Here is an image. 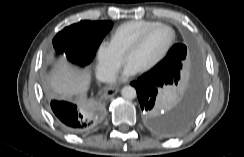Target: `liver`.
I'll list each match as a JSON object with an SVG mask.
<instances>
[{
  "instance_id": "6515ba94",
  "label": "liver",
  "mask_w": 244,
  "mask_h": 157,
  "mask_svg": "<svg viewBox=\"0 0 244 157\" xmlns=\"http://www.w3.org/2000/svg\"><path fill=\"white\" fill-rule=\"evenodd\" d=\"M49 80L54 92L61 98H82L89 88L91 74L88 69L73 68L61 59Z\"/></svg>"
}]
</instances>
